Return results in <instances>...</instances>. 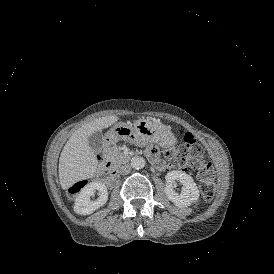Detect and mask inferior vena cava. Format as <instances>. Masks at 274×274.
I'll return each mask as SVG.
<instances>
[{"mask_svg":"<svg viewBox=\"0 0 274 274\" xmlns=\"http://www.w3.org/2000/svg\"><path fill=\"white\" fill-rule=\"evenodd\" d=\"M130 171H131V166L129 164L122 165L119 168V173L122 175H126V174L130 173Z\"/></svg>","mask_w":274,"mask_h":274,"instance_id":"obj_1","label":"inferior vena cava"}]
</instances>
